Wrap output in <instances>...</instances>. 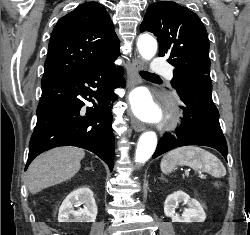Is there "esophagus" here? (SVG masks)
Instances as JSON below:
<instances>
[{"mask_svg":"<svg viewBox=\"0 0 250 235\" xmlns=\"http://www.w3.org/2000/svg\"><path fill=\"white\" fill-rule=\"evenodd\" d=\"M142 67L143 63L141 59L139 57L133 58L130 67V75H131L130 88H133L140 82L139 71L142 69ZM131 125L136 132H141L145 128L144 124L134 116L131 117Z\"/></svg>","mask_w":250,"mask_h":235,"instance_id":"34e87169","label":"esophagus"}]
</instances>
